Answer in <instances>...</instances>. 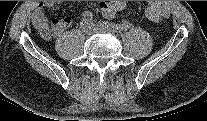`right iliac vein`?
<instances>
[{"mask_svg":"<svg viewBox=\"0 0 207 121\" xmlns=\"http://www.w3.org/2000/svg\"><path fill=\"white\" fill-rule=\"evenodd\" d=\"M81 29L87 35H90L93 32L92 24H90L88 22H83L81 24Z\"/></svg>","mask_w":207,"mask_h":121,"instance_id":"63e3f726","label":"right iliac vein"}]
</instances>
